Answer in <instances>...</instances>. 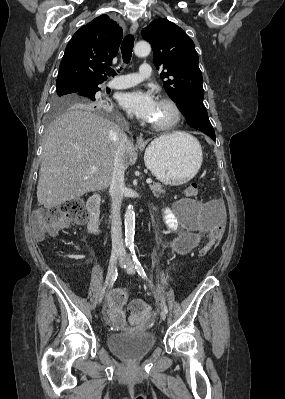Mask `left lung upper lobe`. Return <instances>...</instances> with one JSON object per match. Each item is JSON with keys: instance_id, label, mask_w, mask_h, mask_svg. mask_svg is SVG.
<instances>
[{"instance_id": "1", "label": "left lung upper lobe", "mask_w": 285, "mask_h": 399, "mask_svg": "<svg viewBox=\"0 0 285 399\" xmlns=\"http://www.w3.org/2000/svg\"><path fill=\"white\" fill-rule=\"evenodd\" d=\"M153 48V62L164 88L174 100L188 124L208 136L214 135L207 110L203 104L202 74L199 57L191 38L173 22L164 18L153 20L141 32Z\"/></svg>"}]
</instances>
